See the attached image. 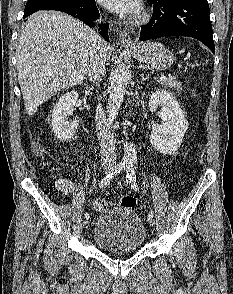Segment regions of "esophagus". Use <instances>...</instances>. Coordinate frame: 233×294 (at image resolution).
<instances>
[{"instance_id":"obj_1","label":"esophagus","mask_w":233,"mask_h":294,"mask_svg":"<svg viewBox=\"0 0 233 294\" xmlns=\"http://www.w3.org/2000/svg\"><path fill=\"white\" fill-rule=\"evenodd\" d=\"M119 39H120L121 43L126 46H130V47L134 46V43H133L131 37L129 36V34L125 30L120 31Z\"/></svg>"}]
</instances>
